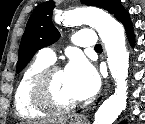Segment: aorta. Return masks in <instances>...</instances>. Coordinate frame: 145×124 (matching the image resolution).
<instances>
[{"label":"aorta","mask_w":145,"mask_h":124,"mask_svg":"<svg viewBox=\"0 0 145 124\" xmlns=\"http://www.w3.org/2000/svg\"><path fill=\"white\" fill-rule=\"evenodd\" d=\"M64 23L69 26L90 24L98 32L105 46L109 70L115 80L116 89L95 113L93 124H112L127 103L129 55L125 46L124 27L107 12L95 8L69 11L64 16Z\"/></svg>","instance_id":"1"}]
</instances>
